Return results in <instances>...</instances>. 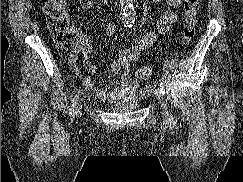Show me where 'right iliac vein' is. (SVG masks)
<instances>
[{"instance_id":"right-iliac-vein-1","label":"right iliac vein","mask_w":243,"mask_h":182,"mask_svg":"<svg viewBox=\"0 0 243 182\" xmlns=\"http://www.w3.org/2000/svg\"><path fill=\"white\" fill-rule=\"evenodd\" d=\"M81 108H82V106L79 104V106L77 107V113L78 114L81 112Z\"/></svg>"}]
</instances>
